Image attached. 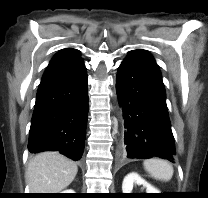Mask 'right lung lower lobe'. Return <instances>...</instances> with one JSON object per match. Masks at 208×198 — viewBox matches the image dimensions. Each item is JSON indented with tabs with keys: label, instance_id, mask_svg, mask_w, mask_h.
I'll list each match as a JSON object with an SVG mask.
<instances>
[{
	"label": "right lung lower lobe",
	"instance_id": "1",
	"mask_svg": "<svg viewBox=\"0 0 208 198\" xmlns=\"http://www.w3.org/2000/svg\"><path fill=\"white\" fill-rule=\"evenodd\" d=\"M88 115V78L84 62L41 81L32 116L31 153L60 151L81 158Z\"/></svg>",
	"mask_w": 208,
	"mask_h": 198
}]
</instances>
